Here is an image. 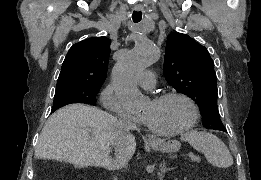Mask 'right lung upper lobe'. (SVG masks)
<instances>
[{
    "instance_id": "cb5924a9",
    "label": "right lung upper lobe",
    "mask_w": 261,
    "mask_h": 180,
    "mask_svg": "<svg viewBox=\"0 0 261 180\" xmlns=\"http://www.w3.org/2000/svg\"><path fill=\"white\" fill-rule=\"evenodd\" d=\"M111 40L93 37L74 44L62 64L57 86H101L107 76Z\"/></svg>"
}]
</instances>
